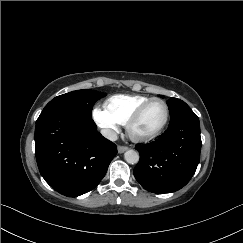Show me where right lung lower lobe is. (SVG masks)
<instances>
[{"label": "right lung lower lobe", "mask_w": 243, "mask_h": 243, "mask_svg": "<svg viewBox=\"0 0 243 243\" xmlns=\"http://www.w3.org/2000/svg\"><path fill=\"white\" fill-rule=\"evenodd\" d=\"M117 153L91 117L54 112L38 118L35 154L42 177L57 192L77 197L94 189Z\"/></svg>", "instance_id": "98d812e1"}]
</instances>
